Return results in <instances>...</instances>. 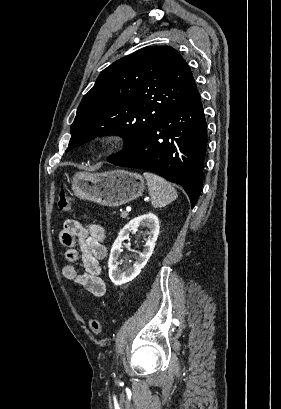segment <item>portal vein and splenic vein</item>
Segmentation results:
<instances>
[{
    "mask_svg": "<svg viewBox=\"0 0 281 409\" xmlns=\"http://www.w3.org/2000/svg\"><path fill=\"white\" fill-rule=\"evenodd\" d=\"M142 201H146V198H142ZM120 213L122 214V219L123 220H127L128 219V213L126 212V210L121 209Z\"/></svg>",
    "mask_w": 281,
    "mask_h": 409,
    "instance_id": "1",
    "label": "portal vein and splenic vein"
}]
</instances>
